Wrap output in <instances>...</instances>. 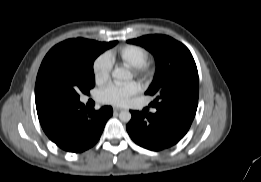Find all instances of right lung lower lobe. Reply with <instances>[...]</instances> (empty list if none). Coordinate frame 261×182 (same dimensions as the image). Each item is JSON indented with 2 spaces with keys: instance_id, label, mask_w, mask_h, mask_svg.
Wrapping results in <instances>:
<instances>
[{
  "instance_id": "98d812e1",
  "label": "right lung lower lobe",
  "mask_w": 261,
  "mask_h": 182,
  "mask_svg": "<svg viewBox=\"0 0 261 182\" xmlns=\"http://www.w3.org/2000/svg\"><path fill=\"white\" fill-rule=\"evenodd\" d=\"M112 114L110 106L88 111L77 102L56 105L38 117L50 140L65 151L78 153L96 144Z\"/></svg>"
}]
</instances>
